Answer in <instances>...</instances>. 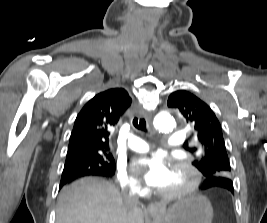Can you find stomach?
<instances>
[{"instance_id":"0dacf381","label":"stomach","mask_w":267,"mask_h":223,"mask_svg":"<svg viewBox=\"0 0 267 223\" xmlns=\"http://www.w3.org/2000/svg\"><path fill=\"white\" fill-rule=\"evenodd\" d=\"M161 223H211L213 209L203 195H189L179 198L169 208L152 212Z\"/></svg>"}]
</instances>
